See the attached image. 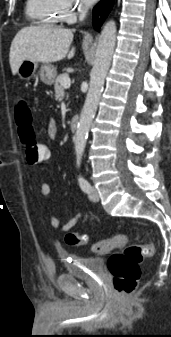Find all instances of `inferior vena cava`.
<instances>
[{"label": "inferior vena cava", "instance_id": "inferior-vena-cava-1", "mask_svg": "<svg viewBox=\"0 0 171 337\" xmlns=\"http://www.w3.org/2000/svg\"><path fill=\"white\" fill-rule=\"evenodd\" d=\"M88 9H89V4H87V3H84L80 7V9H79V20L80 21H82L85 18Z\"/></svg>", "mask_w": 171, "mask_h": 337}]
</instances>
